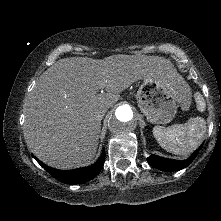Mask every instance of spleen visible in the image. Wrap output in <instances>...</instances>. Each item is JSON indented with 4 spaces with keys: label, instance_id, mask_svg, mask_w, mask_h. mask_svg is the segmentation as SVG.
<instances>
[{
    "label": "spleen",
    "instance_id": "obj_1",
    "mask_svg": "<svg viewBox=\"0 0 221 221\" xmlns=\"http://www.w3.org/2000/svg\"><path fill=\"white\" fill-rule=\"evenodd\" d=\"M195 101L199 111L205 110L206 104L200 93H195ZM206 131V121L197 116L185 124H175L170 127L155 126L153 135L159 145L168 152L177 155H187L201 143Z\"/></svg>",
    "mask_w": 221,
    "mask_h": 221
}]
</instances>
